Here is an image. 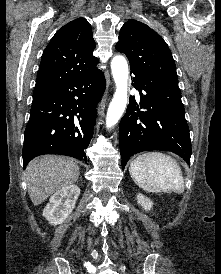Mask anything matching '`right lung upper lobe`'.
I'll use <instances>...</instances> for the list:
<instances>
[{
    "label": "right lung upper lobe",
    "instance_id": "1",
    "mask_svg": "<svg viewBox=\"0 0 221 274\" xmlns=\"http://www.w3.org/2000/svg\"><path fill=\"white\" fill-rule=\"evenodd\" d=\"M95 41L91 25L77 18L59 29L47 45L39 67L33 94L63 85L96 71Z\"/></svg>",
    "mask_w": 221,
    "mask_h": 274
}]
</instances>
